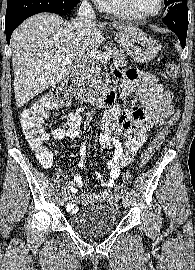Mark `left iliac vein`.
Here are the masks:
<instances>
[{"label":"left iliac vein","mask_w":195,"mask_h":270,"mask_svg":"<svg viewBox=\"0 0 195 270\" xmlns=\"http://www.w3.org/2000/svg\"><path fill=\"white\" fill-rule=\"evenodd\" d=\"M122 203L125 209H128L130 206V200L127 196H123Z\"/></svg>","instance_id":"4c4485c4"}]
</instances>
